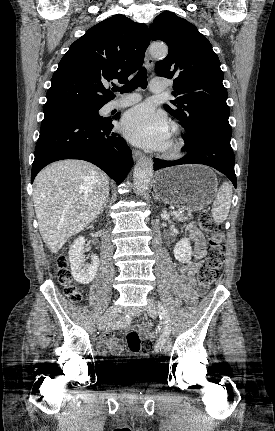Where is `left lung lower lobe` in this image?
<instances>
[{
	"label": "left lung lower lobe",
	"instance_id": "1",
	"mask_svg": "<svg viewBox=\"0 0 275 431\" xmlns=\"http://www.w3.org/2000/svg\"><path fill=\"white\" fill-rule=\"evenodd\" d=\"M228 137L202 136L184 139L188 153L175 161H161L154 159V169L181 165L204 164L211 166L225 174L236 188L237 179L234 171L235 158Z\"/></svg>",
	"mask_w": 275,
	"mask_h": 431
}]
</instances>
